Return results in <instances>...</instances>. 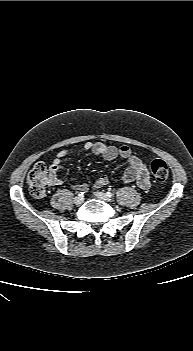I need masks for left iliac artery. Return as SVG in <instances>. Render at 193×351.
Returning a JSON list of instances; mask_svg holds the SVG:
<instances>
[{
  "label": "left iliac artery",
  "mask_w": 193,
  "mask_h": 351,
  "mask_svg": "<svg viewBox=\"0 0 193 351\" xmlns=\"http://www.w3.org/2000/svg\"><path fill=\"white\" fill-rule=\"evenodd\" d=\"M107 194H108V196H110V197L114 196V194H113L112 192H110V191H108Z\"/></svg>",
  "instance_id": "left-iliac-artery-1"
}]
</instances>
